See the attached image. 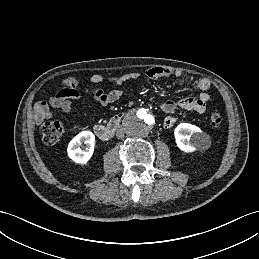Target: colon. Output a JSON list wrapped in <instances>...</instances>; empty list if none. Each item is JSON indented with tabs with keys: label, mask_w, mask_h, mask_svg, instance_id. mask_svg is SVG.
I'll return each instance as SVG.
<instances>
[{
	"label": "colon",
	"mask_w": 259,
	"mask_h": 259,
	"mask_svg": "<svg viewBox=\"0 0 259 259\" xmlns=\"http://www.w3.org/2000/svg\"><path fill=\"white\" fill-rule=\"evenodd\" d=\"M77 80L74 77L66 78L63 81L62 92L64 94H70L77 87ZM212 127H218L221 124L222 118L219 113H212L209 118ZM63 125L58 121L45 122L41 126L42 140L47 145H53L58 142L63 133Z\"/></svg>",
	"instance_id": "1"
}]
</instances>
